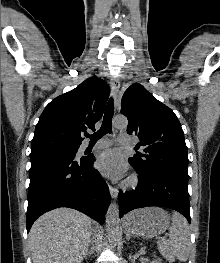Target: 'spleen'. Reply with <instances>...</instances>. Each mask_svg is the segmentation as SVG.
<instances>
[{
	"label": "spleen",
	"instance_id": "1",
	"mask_svg": "<svg viewBox=\"0 0 220 263\" xmlns=\"http://www.w3.org/2000/svg\"><path fill=\"white\" fill-rule=\"evenodd\" d=\"M169 238V252L180 261L185 262L190 252V231L188 222L179 213L174 212L172 215Z\"/></svg>",
	"mask_w": 220,
	"mask_h": 263
}]
</instances>
